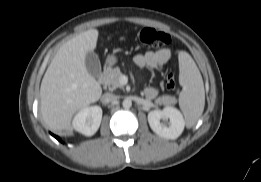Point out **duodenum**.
Returning a JSON list of instances; mask_svg holds the SVG:
<instances>
[{
	"label": "duodenum",
	"instance_id": "duodenum-1",
	"mask_svg": "<svg viewBox=\"0 0 261 182\" xmlns=\"http://www.w3.org/2000/svg\"><path fill=\"white\" fill-rule=\"evenodd\" d=\"M103 81H104V75H101L100 78H99V82L102 83Z\"/></svg>",
	"mask_w": 261,
	"mask_h": 182
}]
</instances>
